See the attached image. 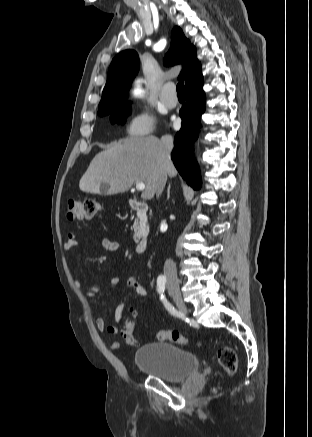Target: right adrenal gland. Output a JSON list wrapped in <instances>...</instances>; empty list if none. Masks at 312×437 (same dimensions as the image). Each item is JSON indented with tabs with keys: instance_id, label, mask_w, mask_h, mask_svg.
Returning <instances> with one entry per match:
<instances>
[{
	"instance_id": "2a0ac1e0",
	"label": "right adrenal gland",
	"mask_w": 312,
	"mask_h": 437,
	"mask_svg": "<svg viewBox=\"0 0 312 437\" xmlns=\"http://www.w3.org/2000/svg\"><path fill=\"white\" fill-rule=\"evenodd\" d=\"M170 188H171V184H169V186L167 188V199L170 198Z\"/></svg>"
}]
</instances>
